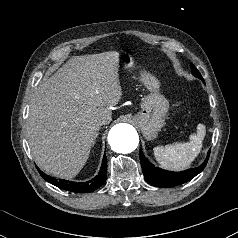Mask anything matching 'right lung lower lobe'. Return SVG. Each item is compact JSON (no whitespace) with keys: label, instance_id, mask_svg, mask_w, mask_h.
<instances>
[{"label":"right lung lower lobe","instance_id":"1","mask_svg":"<svg viewBox=\"0 0 238 238\" xmlns=\"http://www.w3.org/2000/svg\"><path fill=\"white\" fill-rule=\"evenodd\" d=\"M40 175L48 182L53 184L54 186H57L61 189L68 190L71 192L76 193H88L96 190L97 188L101 187L105 181H106V171H107V157L106 155L103 156L102 160V166L100 168V171L98 175L93 178L90 181L83 182V183H77L72 181H67L63 179H55L49 175H46L42 171L37 168Z\"/></svg>","mask_w":238,"mask_h":238}]
</instances>
